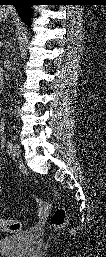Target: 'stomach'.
Returning <instances> with one entry per match:
<instances>
[{
  "label": "stomach",
  "instance_id": "1",
  "mask_svg": "<svg viewBox=\"0 0 106 257\" xmlns=\"http://www.w3.org/2000/svg\"><path fill=\"white\" fill-rule=\"evenodd\" d=\"M8 15H9V12L7 10H3V11H1L0 17L2 20H5V19H7Z\"/></svg>",
  "mask_w": 106,
  "mask_h": 257
}]
</instances>
